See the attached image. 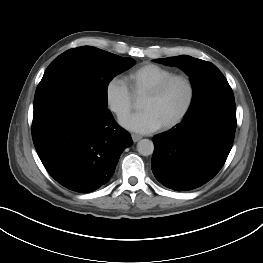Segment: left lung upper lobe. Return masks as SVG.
I'll return each mask as SVG.
<instances>
[{
  "label": "left lung upper lobe",
  "mask_w": 263,
  "mask_h": 263,
  "mask_svg": "<svg viewBox=\"0 0 263 263\" xmlns=\"http://www.w3.org/2000/svg\"><path fill=\"white\" fill-rule=\"evenodd\" d=\"M156 62L182 68L193 84V99L186 115H191L215 101H234L230 85L212 63L191 56L156 59Z\"/></svg>",
  "instance_id": "5c2ea615"
}]
</instances>
